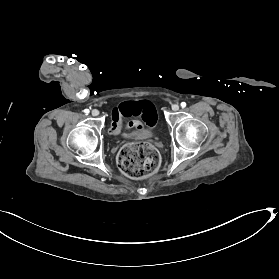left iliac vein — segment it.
Segmentation results:
<instances>
[{
    "label": "left iliac vein",
    "mask_w": 279,
    "mask_h": 279,
    "mask_svg": "<svg viewBox=\"0 0 279 279\" xmlns=\"http://www.w3.org/2000/svg\"><path fill=\"white\" fill-rule=\"evenodd\" d=\"M172 110H173V111H178V110H179V105L173 104V105H172Z\"/></svg>",
    "instance_id": "left-iliac-vein-1"
}]
</instances>
